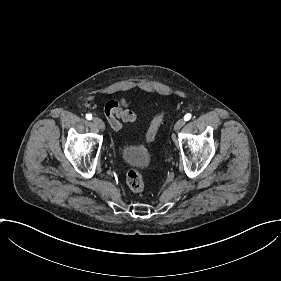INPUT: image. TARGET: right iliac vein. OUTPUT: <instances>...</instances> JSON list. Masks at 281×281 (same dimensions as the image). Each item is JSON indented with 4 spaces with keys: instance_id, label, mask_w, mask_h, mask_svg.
<instances>
[{
    "instance_id": "obj_1",
    "label": "right iliac vein",
    "mask_w": 281,
    "mask_h": 281,
    "mask_svg": "<svg viewBox=\"0 0 281 281\" xmlns=\"http://www.w3.org/2000/svg\"><path fill=\"white\" fill-rule=\"evenodd\" d=\"M93 123H95L96 126L100 127L101 129H103L105 131V124L102 122L101 119L99 118H93Z\"/></svg>"
}]
</instances>
